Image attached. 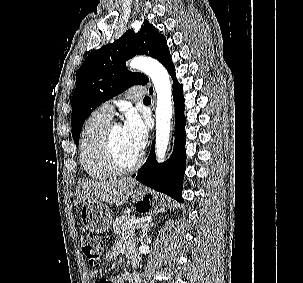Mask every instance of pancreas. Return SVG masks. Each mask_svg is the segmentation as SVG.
<instances>
[{
    "mask_svg": "<svg viewBox=\"0 0 303 283\" xmlns=\"http://www.w3.org/2000/svg\"><path fill=\"white\" fill-rule=\"evenodd\" d=\"M133 215H123L116 218L113 222V231L119 236H125L127 234H133L137 229V224H132L130 221L135 220Z\"/></svg>",
    "mask_w": 303,
    "mask_h": 283,
    "instance_id": "pancreas-1",
    "label": "pancreas"
}]
</instances>
